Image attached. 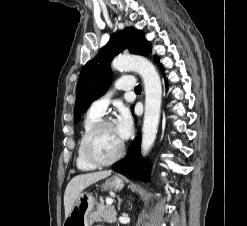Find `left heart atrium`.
<instances>
[{"label": "left heart atrium", "instance_id": "1", "mask_svg": "<svg viewBox=\"0 0 247 226\" xmlns=\"http://www.w3.org/2000/svg\"><path fill=\"white\" fill-rule=\"evenodd\" d=\"M115 129L122 141L130 137L133 130V122L128 111L123 110L121 112L115 123Z\"/></svg>", "mask_w": 247, "mask_h": 226}]
</instances>
